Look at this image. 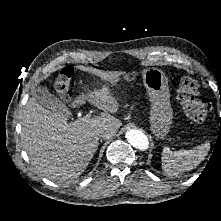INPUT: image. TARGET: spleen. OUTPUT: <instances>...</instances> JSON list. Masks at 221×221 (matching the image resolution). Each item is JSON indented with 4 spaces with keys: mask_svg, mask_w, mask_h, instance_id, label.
<instances>
[{
    "mask_svg": "<svg viewBox=\"0 0 221 221\" xmlns=\"http://www.w3.org/2000/svg\"><path fill=\"white\" fill-rule=\"evenodd\" d=\"M210 150V143L194 147L190 150L171 151L165 147L162 152V169L168 176H178L184 171H190L199 165L207 156Z\"/></svg>",
    "mask_w": 221,
    "mask_h": 221,
    "instance_id": "1",
    "label": "spleen"
}]
</instances>
